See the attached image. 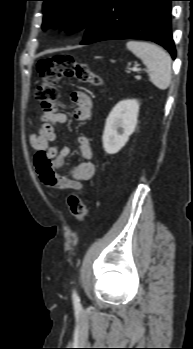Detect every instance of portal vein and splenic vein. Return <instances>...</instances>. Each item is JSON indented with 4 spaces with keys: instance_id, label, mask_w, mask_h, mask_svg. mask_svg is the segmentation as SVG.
<instances>
[{
    "instance_id": "portal-vein-and-splenic-vein-1",
    "label": "portal vein and splenic vein",
    "mask_w": 193,
    "mask_h": 349,
    "mask_svg": "<svg viewBox=\"0 0 193 349\" xmlns=\"http://www.w3.org/2000/svg\"><path fill=\"white\" fill-rule=\"evenodd\" d=\"M131 70H132L133 72H138V71H140V69H139V68H137V67H135V66H134V67H132V68H131Z\"/></svg>"
}]
</instances>
